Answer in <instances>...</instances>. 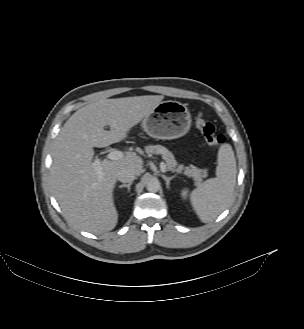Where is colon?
Segmentation results:
<instances>
[{"instance_id":"1","label":"colon","mask_w":304,"mask_h":329,"mask_svg":"<svg viewBox=\"0 0 304 329\" xmlns=\"http://www.w3.org/2000/svg\"><path fill=\"white\" fill-rule=\"evenodd\" d=\"M195 124L209 145L215 148H219L226 142V138L223 135H218L216 133V129L213 123L208 120L202 113L197 115Z\"/></svg>"}]
</instances>
